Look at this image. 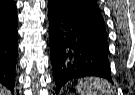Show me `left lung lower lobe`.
<instances>
[{
  "instance_id": "left-lung-lower-lobe-1",
  "label": "left lung lower lobe",
  "mask_w": 135,
  "mask_h": 95,
  "mask_svg": "<svg viewBox=\"0 0 135 95\" xmlns=\"http://www.w3.org/2000/svg\"><path fill=\"white\" fill-rule=\"evenodd\" d=\"M50 56L56 93L71 79L99 76L112 82L106 29L48 6Z\"/></svg>"
}]
</instances>
